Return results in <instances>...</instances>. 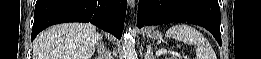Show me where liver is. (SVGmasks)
Returning a JSON list of instances; mask_svg holds the SVG:
<instances>
[{"mask_svg":"<svg viewBox=\"0 0 261 59\" xmlns=\"http://www.w3.org/2000/svg\"><path fill=\"white\" fill-rule=\"evenodd\" d=\"M96 28L90 23H65L41 32L33 45V59H91Z\"/></svg>","mask_w":261,"mask_h":59,"instance_id":"1","label":"liver"}]
</instances>
